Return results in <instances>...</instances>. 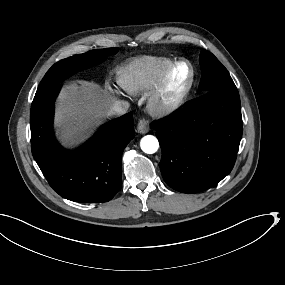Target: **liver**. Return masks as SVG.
<instances>
[{"instance_id": "liver-1", "label": "liver", "mask_w": 285, "mask_h": 285, "mask_svg": "<svg viewBox=\"0 0 285 285\" xmlns=\"http://www.w3.org/2000/svg\"><path fill=\"white\" fill-rule=\"evenodd\" d=\"M117 98L97 83L86 80L64 85L56 103L55 126L66 146H77L103 123Z\"/></svg>"}]
</instances>
